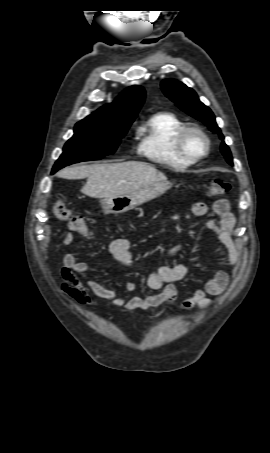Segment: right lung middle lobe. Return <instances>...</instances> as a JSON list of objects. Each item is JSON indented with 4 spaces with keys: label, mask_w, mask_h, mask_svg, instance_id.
<instances>
[{
    "label": "right lung middle lobe",
    "mask_w": 270,
    "mask_h": 453,
    "mask_svg": "<svg viewBox=\"0 0 270 453\" xmlns=\"http://www.w3.org/2000/svg\"><path fill=\"white\" fill-rule=\"evenodd\" d=\"M129 126H115L95 120L78 122L74 128V135L65 144L52 174L64 166L102 159L105 155L114 153Z\"/></svg>",
    "instance_id": "dd1d6c3e"
}]
</instances>
